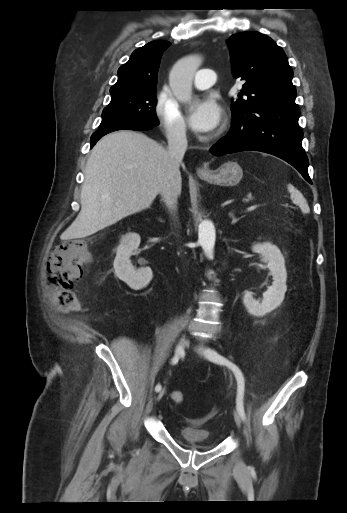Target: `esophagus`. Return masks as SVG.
Returning <instances> with one entry per match:
<instances>
[{
  "instance_id": "obj_1",
  "label": "esophagus",
  "mask_w": 347,
  "mask_h": 513,
  "mask_svg": "<svg viewBox=\"0 0 347 513\" xmlns=\"http://www.w3.org/2000/svg\"><path fill=\"white\" fill-rule=\"evenodd\" d=\"M196 172L198 175H206L208 173V168L203 167V166L198 167Z\"/></svg>"
}]
</instances>
